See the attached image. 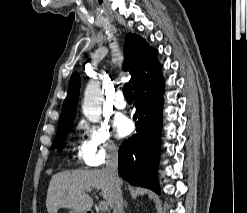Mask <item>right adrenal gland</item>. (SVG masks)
<instances>
[{"instance_id": "obj_1", "label": "right adrenal gland", "mask_w": 247, "mask_h": 213, "mask_svg": "<svg viewBox=\"0 0 247 213\" xmlns=\"http://www.w3.org/2000/svg\"><path fill=\"white\" fill-rule=\"evenodd\" d=\"M124 205H125V207L127 208V205H128V204H127V201H126V200L124 201Z\"/></svg>"}]
</instances>
